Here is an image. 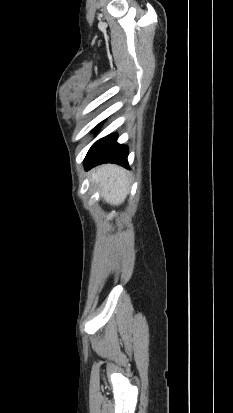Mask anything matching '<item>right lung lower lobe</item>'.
Wrapping results in <instances>:
<instances>
[{"instance_id":"98d812e1","label":"right lung lower lobe","mask_w":233,"mask_h":413,"mask_svg":"<svg viewBox=\"0 0 233 413\" xmlns=\"http://www.w3.org/2000/svg\"><path fill=\"white\" fill-rule=\"evenodd\" d=\"M116 141L117 134H110L97 141L85 157V168L88 170L102 163H116L128 167V148Z\"/></svg>"}]
</instances>
